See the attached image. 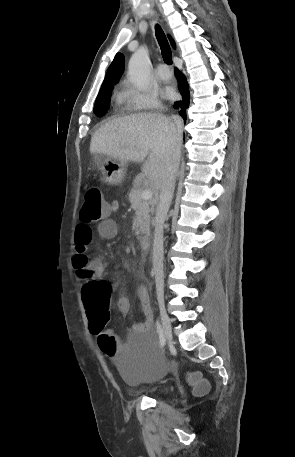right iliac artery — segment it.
Segmentation results:
<instances>
[{"label":"right iliac artery","mask_w":295,"mask_h":457,"mask_svg":"<svg viewBox=\"0 0 295 457\" xmlns=\"http://www.w3.org/2000/svg\"><path fill=\"white\" fill-rule=\"evenodd\" d=\"M156 328H157V332L159 334L160 345L164 346L165 345V337H164V334H163L162 327H161V325H160V323L158 321L156 322Z\"/></svg>","instance_id":"obj_1"}]
</instances>
